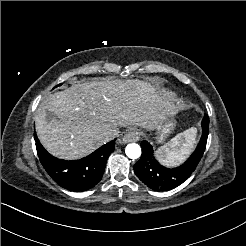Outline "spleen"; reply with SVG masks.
Segmentation results:
<instances>
[{
    "label": "spleen",
    "mask_w": 246,
    "mask_h": 246,
    "mask_svg": "<svg viewBox=\"0 0 246 246\" xmlns=\"http://www.w3.org/2000/svg\"><path fill=\"white\" fill-rule=\"evenodd\" d=\"M197 128L191 127L177 134L168 143L157 150L160 162L168 167H174L188 157L196 142Z\"/></svg>",
    "instance_id": "3e777b00"
}]
</instances>
